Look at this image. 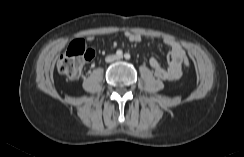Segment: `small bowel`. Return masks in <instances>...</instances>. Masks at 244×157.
<instances>
[{"mask_svg": "<svg viewBox=\"0 0 244 157\" xmlns=\"http://www.w3.org/2000/svg\"><path fill=\"white\" fill-rule=\"evenodd\" d=\"M125 36L128 41L133 43H138L142 40L141 35L137 33L126 32ZM88 40L92 41L93 37L89 36ZM163 44L169 48L167 66L164 67L156 58L150 59V66L157 78L165 81L178 80L182 75V62L185 57V51L177 41L169 37L163 39Z\"/></svg>", "mask_w": 244, "mask_h": 157, "instance_id": "small-bowel-1", "label": "small bowel"}]
</instances>
